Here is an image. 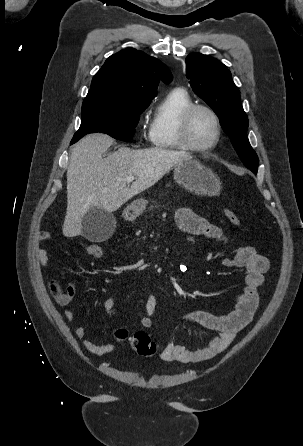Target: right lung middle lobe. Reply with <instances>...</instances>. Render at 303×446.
Listing matches in <instances>:
<instances>
[{"mask_svg":"<svg viewBox=\"0 0 303 446\" xmlns=\"http://www.w3.org/2000/svg\"><path fill=\"white\" fill-rule=\"evenodd\" d=\"M148 106L91 105L82 106V120L71 144L88 133H106L119 140H129L139 121V114Z\"/></svg>","mask_w":303,"mask_h":446,"instance_id":"right-lung-middle-lobe-1","label":"right lung middle lobe"}]
</instances>
